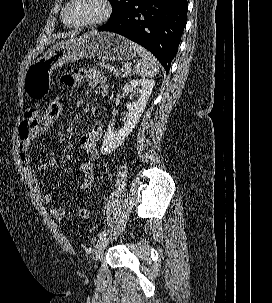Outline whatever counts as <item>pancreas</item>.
I'll list each match as a JSON object with an SVG mask.
<instances>
[{
    "label": "pancreas",
    "instance_id": "obj_1",
    "mask_svg": "<svg viewBox=\"0 0 272 303\" xmlns=\"http://www.w3.org/2000/svg\"><path fill=\"white\" fill-rule=\"evenodd\" d=\"M131 69H125L124 67L121 69V71L117 70V69H113V74L116 76L121 75L122 77H127L131 74Z\"/></svg>",
    "mask_w": 272,
    "mask_h": 303
}]
</instances>
